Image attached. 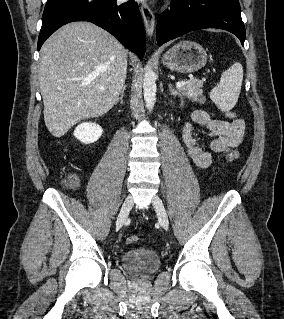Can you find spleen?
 Here are the masks:
<instances>
[{
  "mask_svg": "<svg viewBox=\"0 0 284 319\" xmlns=\"http://www.w3.org/2000/svg\"><path fill=\"white\" fill-rule=\"evenodd\" d=\"M243 68L234 62L221 74L220 83L210 92V99L224 112L230 111L236 104L241 91Z\"/></svg>",
  "mask_w": 284,
  "mask_h": 319,
  "instance_id": "spleen-1",
  "label": "spleen"
}]
</instances>
